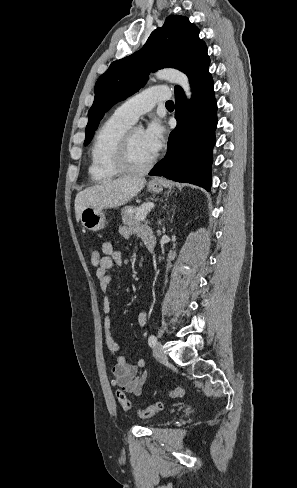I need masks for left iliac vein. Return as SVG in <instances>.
Instances as JSON below:
<instances>
[{
    "mask_svg": "<svg viewBox=\"0 0 297 488\" xmlns=\"http://www.w3.org/2000/svg\"><path fill=\"white\" fill-rule=\"evenodd\" d=\"M153 355L160 362H167L168 356L160 342L153 347Z\"/></svg>",
    "mask_w": 297,
    "mask_h": 488,
    "instance_id": "4c4485c4",
    "label": "left iliac vein"
}]
</instances>
